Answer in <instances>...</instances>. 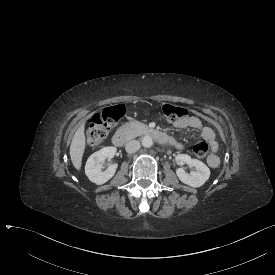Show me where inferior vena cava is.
<instances>
[{
	"instance_id": "obj_1",
	"label": "inferior vena cava",
	"mask_w": 275,
	"mask_h": 275,
	"mask_svg": "<svg viewBox=\"0 0 275 275\" xmlns=\"http://www.w3.org/2000/svg\"><path fill=\"white\" fill-rule=\"evenodd\" d=\"M140 148V143L136 140H131L126 143L125 150L127 153H135Z\"/></svg>"
}]
</instances>
